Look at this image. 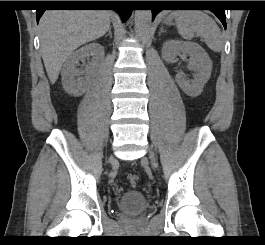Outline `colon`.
<instances>
[{
    "label": "colon",
    "mask_w": 265,
    "mask_h": 245,
    "mask_svg": "<svg viewBox=\"0 0 265 245\" xmlns=\"http://www.w3.org/2000/svg\"><path fill=\"white\" fill-rule=\"evenodd\" d=\"M129 182L134 185L138 181V175L136 174H131L128 176Z\"/></svg>",
    "instance_id": "colon-1"
}]
</instances>
